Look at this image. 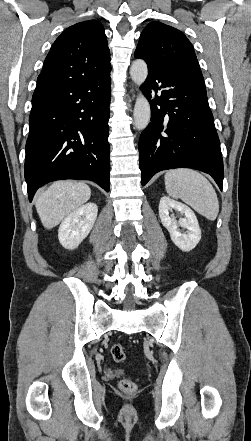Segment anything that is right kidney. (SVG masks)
<instances>
[{"instance_id":"ca27d5eb","label":"right kidney","mask_w":251,"mask_h":441,"mask_svg":"<svg viewBox=\"0 0 251 441\" xmlns=\"http://www.w3.org/2000/svg\"><path fill=\"white\" fill-rule=\"evenodd\" d=\"M98 207L87 203L70 213L61 223L58 230L60 244L73 250L88 236L97 218Z\"/></svg>"}]
</instances>
